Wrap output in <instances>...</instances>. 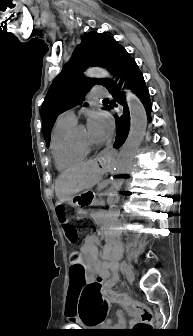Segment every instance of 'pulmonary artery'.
I'll return each mask as SVG.
<instances>
[{
	"instance_id": "1",
	"label": "pulmonary artery",
	"mask_w": 193,
	"mask_h": 336,
	"mask_svg": "<svg viewBox=\"0 0 193 336\" xmlns=\"http://www.w3.org/2000/svg\"><path fill=\"white\" fill-rule=\"evenodd\" d=\"M109 96V92L104 87H95L92 91L91 97L102 98ZM76 116L72 110L63 112L57 119V124H75Z\"/></svg>"
}]
</instances>
